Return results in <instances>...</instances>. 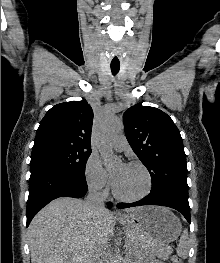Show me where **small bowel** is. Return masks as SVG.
Listing matches in <instances>:
<instances>
[{
	"mask_svg": "<svg viewBox=\"0 0 220 263\" xmlns=\"http://www.w3.org/2000/svg\"><path fill=\"white\" fill-rule=\"evenodd\" d=\"M149 263H161V262H159L158 260H152Z\"/></svg>",
	"mask_w": 220,
	"mask_h": 263,
	"instance_id": "obj_1",
	"label": "small bowel"
}]
</instances>
